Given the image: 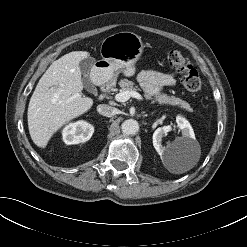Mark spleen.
<instances>
[{
	"mask_svg": "<svg viewBox=\"0 0 247 247\" xmlns=\"http://www.w3.org/2000/svg\"><path fill=\"white\" fill-rule=\"evenodd\" d=\"M187 170H188V168L187 169H180V170L177 171V173H183V172H185Z\"/></svg>",
	"mask_w": 247,
	"mask_h": 247,
	"instance_id": "spleen-1",
	"label": "spleen"
}]
</instances>
